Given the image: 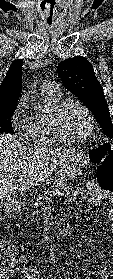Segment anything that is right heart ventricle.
<instances>
[{"label": "right heart ventricle", "mask_w": 113, "mask_h": 279, "mask_svg": "<svg viewBox=\"0 0 113 279\" xmlns=\"http://www.w3.org/2000/svg\"><path fill=\"white\" fill-rule=\"evenodd\" d=\"M43 99L45 108L30 117L26 130V140L29 144L36 146H54L59 142L52 133L49 117L54 107L59 103L60 95L43 91Z\"/></svg>", "instance_id": "right-heart-ventricle-1"}]
</instances>
